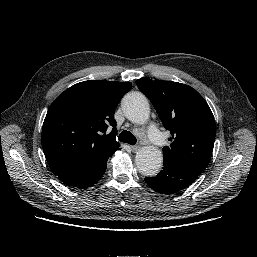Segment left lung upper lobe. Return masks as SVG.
Returning <instances> with one entry per match:
<instances>
[{
  "instance_id": "5c2ea615",
  "label": "left lung upper lobe",
  "mask_w": 257,
  "mask_h": 257,
  "mask_svg": "<svg viewBox=\"0 0 257 257\" xmlns=\"http://www.w3.org/2000/svg\"><path fill=\"white\" fill-rule=\"evenodd\" d=\"M136 84L172 135L171 145L163 148V159L201 174L210 162L216 134L207 102L195 89L182 83L138 79Z\"/></svg>"
}]
</instances>
